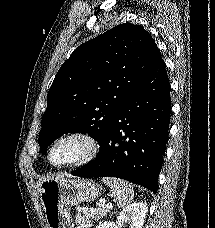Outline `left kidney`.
<instances>
[{
  "mask_svg": "<svg viewBox=\"0 0 215 228\" xmlns=\"http://www.w3.org/2000/svg\"><path fill=\"white\" fill-rule=\"evenodd\" d=\"M148 212L147 204L134 202L122 210L116 222V228H143Z\"/></svg>",
  "mask_w": 215,
  "mask_h": 228,
  "instance_id": "5707ae66",
  "label": "left kidney"
}]
</instances>
